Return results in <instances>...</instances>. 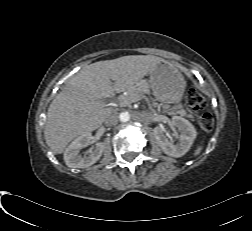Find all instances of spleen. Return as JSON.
I'll return each mask as SVG.
<instances>
[{"mask_svg": "<svg viewBox=\"0 0 252 231\" xmlns=\"http://www.w3.org/2000/svg\"><path fill=\"white\" fill-rule=\"evenodd\" d=\"M201 150H202V146L197 147V149L195 150L194 155H195V156H196V155H199L200 152H201Z\"/></svg>", "mask_w": 252, "mask_h": 231, "instance_id": "1", "label": "spleen"}]
</instances>
